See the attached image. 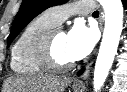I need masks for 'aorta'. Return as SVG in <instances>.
Instances as JSON below:
<instances>
[{"label": "aorta", "instance_id": "obj_1", "mask_svg": "<svg viewBox=\"0 0 127 92\" xmlns=\"http://www.w3.org/2000/svg\"><path fill=\"white\" fill-rule=\"evenodd\" d=\"M105 13V28L94 69L93 86L98 92L103 86L117 53L123 29L121 0H99Z\"/></svg>", "mask_w": 127, "mask_h": 92}]
</instances>
